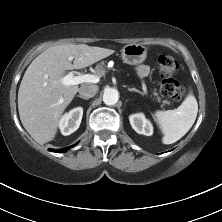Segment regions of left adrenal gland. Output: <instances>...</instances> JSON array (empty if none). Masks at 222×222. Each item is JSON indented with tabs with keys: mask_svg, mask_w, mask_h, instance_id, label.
<instances>
[{
	"mask_svg": "<svg viewBox=\"0 0 222 222\" xmlns=\"http://www.w3.org/2000/svg\"><path fill=\"white\" fill-rule=\"evenodd\" d=\"M128 90H129V91L137 92V93H139V94H141V95H144L141 91H139V90L136 89V88H128Z\"/></svg>",
	"mask_w": 222,
	"mask_h": 222,
	"instance_id": "obj_1",
	"label": "left adrenal gland"
}]
</instances>
